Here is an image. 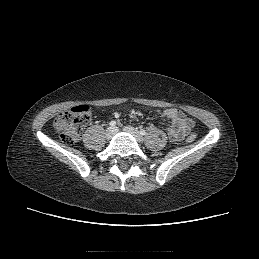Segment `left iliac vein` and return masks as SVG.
I'll return each mask as SVG.
<instances>
[{
    "mask_svg": "<svg viewBox=\"0 0 259 259\" xmlns=\"http://www.w3.org/2000/svg\"><path fill=\"white\" fill-rule=\"evenodd\" d=\"M123 130L126 132V133H129L131 134L132 136H134V138L138 141V142H141L142 141V136L141 134L133 127L131 126H125L123 128Z\"/></svg>",
    "mask_w": 259,
    "mask_h": 259,
    "instance_id": "1",
    "label": "left iliac vein"
}]
</instances>
